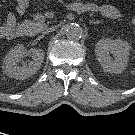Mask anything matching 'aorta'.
<instances>
[{
	"instance_id": "1",
	"label": "aorta",
	"mask_w": 135,
	"mask_h": 135,
	"mask_svg": "<svg viewBox=\"0 0 135 135\" xmlns=\"http://www.w3.org/2000/svg\"><path fill=\"white\" fill-rule=\"evenodd\" d=\"M66 36L72 40H78L82 36V28L77 23H70L65 28Z\"/></svg>"
}]
</instances>
